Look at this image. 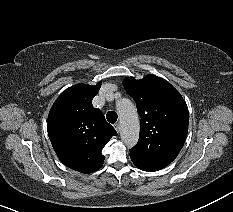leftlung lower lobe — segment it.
Returning a JSON list of instances; mask_svg holds the SVG:
<instances>
[{"instance_id": "left-lung-lower-lobe-1", "label": "left lung lower lobe", "mask_w": 233, "mask_h": 212, "mask_svg": "<svg viewBox=\"0 0 233 212\" xmlns=\"http://www.w3.org/2000/svg\"><path fill=\"white\" fill-rule=\"evenodd\" d=\"M132 162L134 163V165L136 167H138L139 169H141L143 171L153 172V171H158L159 170V169L144 165V164H142V163H140V162H138L136 160H133V159H132Z\"/></svg>"}]
</instances>
